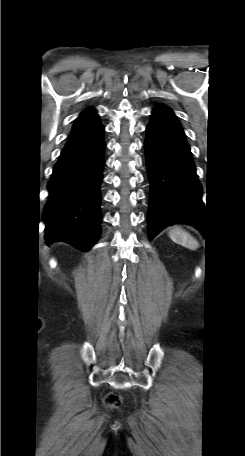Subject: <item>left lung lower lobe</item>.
<instances>
[{
  "label": "left lung lower lobe",
  "instance_id": "0a47b994",
  "mask_svg": "<svg viewBox=\"0 0 245 456\" xmlns=\"http://www.w3.org/2000/svg\"><path fill=\"white\" fill-rule=\"evenodd\" d=\"M146 128L145 158L151 185L148 234L174 223L200 226L202 186L184 131L173 111L159 105Z\"/></svg>",
  "mask_w": 245,
  "mask_h": 456
}]
</instances>
